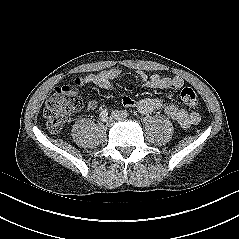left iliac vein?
I'll use <instances>...</instances> for the list:
<instances>
[{
  "label": "left iliac vein",
  "mask_w": 239,
  "mask_h": 239,
  "mask_svg": "<svg viewBox=\"0 0 239 239\" xmlns=\"http://www.w3.org/2000/svg\"><path fill=\"white\" fill-rule=\"evenodd\" d=\"M112 117L115 120H124L125 119V117L122 115V113L118 110L112 111Z\"/></svg>",
  "instance_id": "1"
}]
</instances>
